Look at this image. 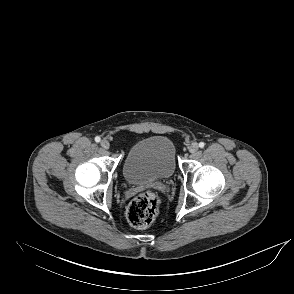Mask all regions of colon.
<instances>
[{"label": "colon", "instance_id": "colon-1", "mask_svg": "<svg viewBox=\"0 0 294 294\" xmlns=\"http://www.w3.org/2000/svg\"><path fill=\"white\" fill-rule=\"evenodd\" d=\"M159 212V198L152 191L136 196L128 205L127 220L135 228H146L156 219Z\"/></svg>", "mask_w": 294, "mask_h": 294}]
</instances>
